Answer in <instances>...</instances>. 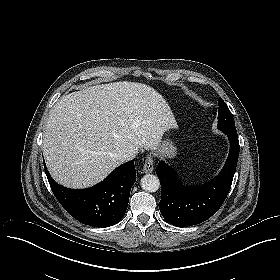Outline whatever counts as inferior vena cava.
Instances as JSON below:
<instances>
[{
  "instance_id": "obj_1",
  "label": "inferior vena cava",
  "mask_w": 280,
  "mask_h": 280,
  "mask_svg": "<svg viewBox=\"0 0 280 280\" xmlns=\"http://www.w3.org/2000/svg\"><path fill=\"white\" fill-rule=\"evenodd\" d=\"M136 155H137V152L134 150L127 151L122 155V160L123 161L132 160L133 158H135Z\"/></svg>"
}]
</instances>
